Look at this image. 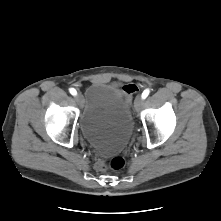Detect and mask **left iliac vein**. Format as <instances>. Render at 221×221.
<instances>
[{
    "instance_id": "obj_1",
    "label": "left iliac vein",
    "mask_w": 221,
    "mask_h": 221,
    "mask_svg": "<svg viewBox=\"0 0 221 221\" xmlns=\"http://www.w3.org/2000/svg\"><path fill=\"white\" fill-rule=\"evenodd\" d=\"M144 100L142 96L138 95L134 101V108L136 111H140L143 107Z\"/></svg>"
}]
</instances>
